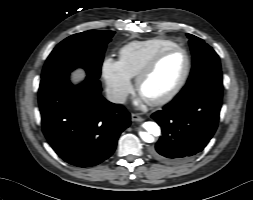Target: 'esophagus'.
I'll return each instance as SVG.
<instances>
[{"mask_svg": "<svg viewBox=\"0 0 253 200\" xmlns=\"http://www.w3.org/2000/svg\"><path fill=\"white\" fill-rule=\"evenodd\" d=\"M131 119L134 122H142L143 118L139 116L138 114H131Z\"/></svg>", "mask_w": 253, "mask_h": 200, "instance_id": "obj_1", "label": "esophagus"}]
</instances>
